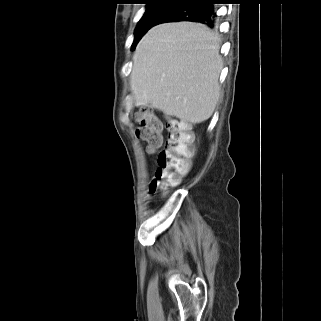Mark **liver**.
<instances>
[{"instance_id":"obj_1","label":"liver","mask_w":321,"mask_h":321,"mask_svg":"<svg viewBox=\"0 0 321 321\" xmlns=\"http://www.w3.org/2000/svg\"><path fill=\"white\" fill-rule=\"evenodd\" d=\"M218 36L205 25L165 23L150 29L133 55L135 105L192 124L211 117L220 95L223 61Z\"/></svg>"}]
</instances>
